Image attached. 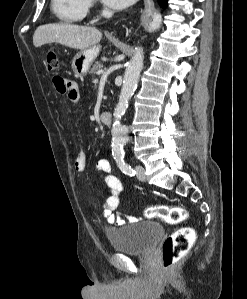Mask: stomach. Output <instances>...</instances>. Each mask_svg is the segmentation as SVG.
<instances>
[{
  "label": "stomach",
  "mask_w": 247,
  "mask_h": 299,
  "mask_svg": "<svg viewBox=\"0 0 247 299\" xmlns=\"http://www.w3.org/2000/svg\"><path fill=\"white\" fill-rule=\"evenodd\" d=\"M100 51V46H92L78 52L72 60V70L76 77L83 78L97 58Z\"/></svg>",
  "instance_id": "1"
}]
</instances>
